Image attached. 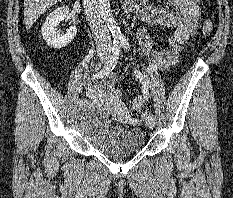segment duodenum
Segmentation results:
<instances>
[{"label":"duodenum","mask_w":233,"mask_h":198,"mask_svg":"<svg viewBox=\"0 0 233 198\" xmlns=\"http://www.w3.org/2000/svg\"><path fill=\"white\" fill-rule=\"evenodd\" d=\"M145 0H126L124 4V10L131 12L132 10L140 8L144 4Z\"/></svg>","instance_id":"duodenum-1"}]
</instances>
